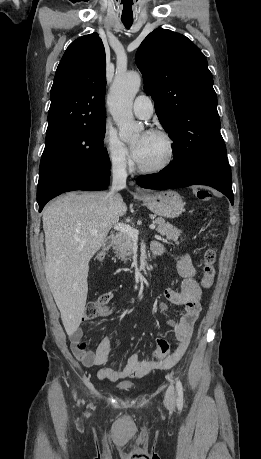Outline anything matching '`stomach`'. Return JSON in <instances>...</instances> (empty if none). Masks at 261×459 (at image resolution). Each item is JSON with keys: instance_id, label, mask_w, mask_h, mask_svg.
<instances>
[{"instance_id": "stomach-1", "label": "stomach", "mask_w": 261, "mask_h": 459, "mask_svg": "<svg viewBox=\"0 0 261 459\" xmlns=\"http://www.w3.org/2000/svg\"><path fill=\"white\" fill-rule=\"evenodd\" d=\"M144 204L155 214L164 218H176L184 211L181 196L173 190H164L142 196Z\"/></svg>"}]
</instances>
